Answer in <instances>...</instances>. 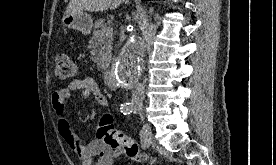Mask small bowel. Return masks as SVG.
Masks as SVG:
<instances>
[{
    "mask_svg": "<svg viewBox=\"0 0 276 165\" xmlns=\"http://www.w3.org/2000/svg\"><path fill=\"white\" fill-rule=\"evenodd\" d=\"M80 91L92 97L97 104L106 105V99L97 82L89 77L76 78L66 86L56 88L51 95V103L58 119V130L68 147L81 161V165H112L122 152L113 150L101 139L85 141L79 138L66 115V101L74 93Z\"/></svg>",
    "mask_w": 276,
    "mask_h": 165,
    "instance_id": "1",
    "label": "small bowel"
}]
</instances>
